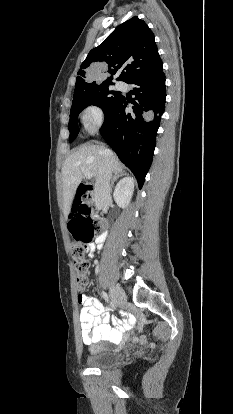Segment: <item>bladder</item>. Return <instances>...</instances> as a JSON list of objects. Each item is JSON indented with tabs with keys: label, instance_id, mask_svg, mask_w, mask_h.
<instances>
[{
	"label": "bladder",
	"instance_id": "31cf9c89",
	"mask_svg": "<svg viewBox=\"0 0 233 414\" xmlns=\"http://www.w3.org/2000/svg\"><path fill=\"white\" fill-rule=\"evenodd\" d=\"M120 355L114 351H101L86 357V364L91 368H109L118 363Z\"/></svg>",
	"mask_w": 233,
	"mask_h": 414
}]
</instances>
